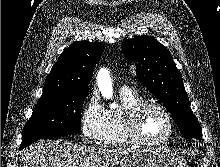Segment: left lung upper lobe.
<instances>
[{
  "label": "left lung upper lobe",
  "mask_w": 220,
  "mask_h": 167,
  "mask_svg": "<svg viewBox=\"0 0 220 167\" xmlns=\"http://www.w3.org/2000/svg\"><path fill=\"white\" fill-rule=\"evenodd\" d=\"M127 63L136 62L139 82L166 107L185 138H202L200 124L190 108L182 77L169 50L152 36L125 40Z\"/></svg>",
  "instance_id": "5c2ea615"
}]
</instances>
